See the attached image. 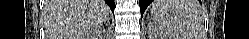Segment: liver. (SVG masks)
Listing matches in <instances>:
<instances>
[{
    "mask_svg": "<svg viewBox=\"0 0 249 39\" xmlns=\"http://www.w3.org/2000/svg\"><path fill=\"white\" fill-rule=\"evenodd\" d=\"M103 0H45L44 26L49 39H88L109 16Z\"/></svg>",
    "mask_w": 249,
    "mask_h": 39,
    "instance_id": "liver-1",
    "label": "liver"
}]
</instances>
